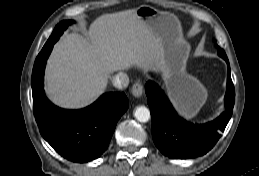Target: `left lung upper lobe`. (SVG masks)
I'll return each mask as SVG.
<instances>
[{
    "instance_id": "obj_1",
    "label": "left lung upper lobe",
    "mask_w": 259,
    "mask_h": 176,
    "mask_svg": "<svg viewBox=\"0 0 259 176\" xmlns=\"http://www.w3.org/2000/svg\"><path fill=\"white\" fill-rule=\"evenodd\" d=\"M216 47L219 50V52H218L219 56H221L222 58L226 57V54L224 53V51L221 48H219L217 45H216Z\"/></svg>"
}]
</instances>
